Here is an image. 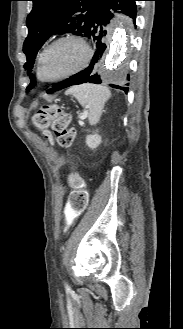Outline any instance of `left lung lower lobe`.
Instances as JSON below:
<instances>
[{
	"label": "left lung lower lobe",
	"instance_id": "1",
	"mask_svg": "<svg viewBox=\"0 0 183 329\" xmlns=\"http://www.w3.org/2000/svg\"><path fill=\"white\" fill-rule=\"evenodd\" d=\"M136 1L139 0H108L105 4L97 11L91 26L86 34V37L89 38L92 42V47L94 50V55L91 59L90 65L76 73L75 75L61 81L57 86L50 89L48 93L61 90L63 88L78 85L82 83H95L100 84V76L93 73V68L96 66L103 58L107 49V40H106V26L109 23V20L113 17V12L121 10V13H124L130 16L134 23L136 19ZM129 78V77H127ZM111 87L123 90L125 93L128 92V84L125 85H114L110 84Z\"/></svg>",
	"mask_w": 183,
	"mask_h": 329
}]
</instances>
